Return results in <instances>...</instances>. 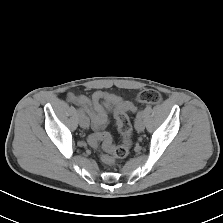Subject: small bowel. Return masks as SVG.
Instances as JSON below:
<instances>
[{"label": "small bowel", "instance_id": "small-bowel-1", "mask_svg": "<svg viewBox=\"0 0 223 223\" xmlns=\"http://www.w3.org/2000/svg\"><path fill=\"white\" fill-rule=\"evenodd\" d=\"M67 99L72 104L81 107L88 114L95 130H100L108 124V110L102 104V101L111 104L122 102L119 96L104 91H96L91 97L69 93Z\"/></svg>", "mask_w": 223, "mask_h": 223}]
</instances>
